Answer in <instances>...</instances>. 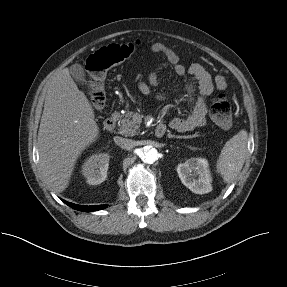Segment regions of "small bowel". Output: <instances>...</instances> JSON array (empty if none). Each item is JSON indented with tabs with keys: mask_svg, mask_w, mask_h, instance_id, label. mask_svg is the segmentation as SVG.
I'll list each match as a JSON object with an SVG mask.
<instances>
[{
	"mask_svg": "<svg viewBox=\"0 0 287 287\" xmlns=\"http://www.w3.org/2000/svg\"><path fill=\"white\" fill-rule=\"evenodd\" d=\"M151 51L164 55L165 61L149 74L147 82H138L140 92L144 95H152L151 87L160 84L159 71L163 69H169L177 76H190L191 80L186 84V89L190 94L189 114L184 118L175 117L171 119L169 125L178 132H188L204 126L207 113L206 99L214 88L220 91L227 89L225 77L217 75L213 78L209 71L199 63H192L186 67L181 63L179 55L163 43L156 42L152 44ZM155 97L158 100H165L167 95L156 94Z\"/></svg>",
	"mask_w": 287,
	"mask_h": 287,
	"instance_id": "c3829d8e",
	"label": "small bowel"
}]
</instances>
